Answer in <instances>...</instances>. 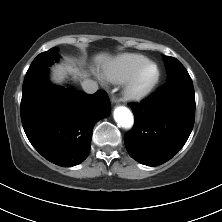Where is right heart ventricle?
<instances>
[{
	"label": "right heart ventricle",
	"mask_w": 222,
	"mask_h": 222,
	"mask_svg": "<svg viewBox=\"0 0 222 222\" xmlns=\"http://www.w3.org/2000/svg\"><path fill=\"white\" fill-rule=\"evenodd\" d=\"M145 61L147 58L140 54H122L109 63L101 77L108 82L122 83Z\"/></svg>",
	"instance_id": "e07e8e85"
}]
</instances>
